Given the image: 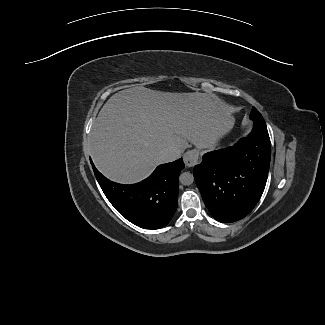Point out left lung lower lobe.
<instances>
[{
    "label": "left lung lower lobe",
    "instance_id": "left-lung-lower-lobe-1",
    "mask_svg": "<svg viewBox=\"0 0 325 325\" xmlns=\"http://www.w3.org/2000/svg\"><path fill=\"white\" fill-rule=\"evenodd\" d=\"M235 145L204 154L194 167L203 201L219 222L230 223L248 215L259 201L267 181L271 143L263 118Z\"/></svg>",
    "mask_w": 325,
    "mask_h": 325
}]
</instances>
